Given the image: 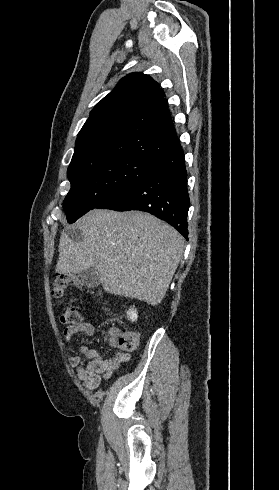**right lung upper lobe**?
<instances>
[{"mask_svg":"<svg viewBox=\"0 0 279 490\" xmlns=\"http://www.w3.org/2000/svg\"><path fill=\"white\" fill-rule=\"evenodd\" d=\"M178 147L163 90L150 76L135 72L91 111L77 136L68 172L102 159L154 163Z\"/></svg>","mask_w":279,"mask_h":490,"instance_id":"1","label":"right lung upper lobe"}]
</instances>
